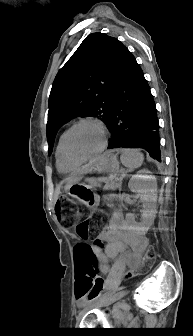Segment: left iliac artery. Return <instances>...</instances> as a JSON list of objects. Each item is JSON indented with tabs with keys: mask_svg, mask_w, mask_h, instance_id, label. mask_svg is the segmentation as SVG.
Here are the masks:
<instances>
[{
	"mask_svg": "<svg viewBox=\"0 0 193 336\" xmlns=\"http://www.w3.org/2000/svg\"><path fill=\"white\" fill-rule=\"evenodd\" d=\"M95 302H96V300L91 301L90 305L94 304Z\"/></svg>",
	"mask_w": 193,
	"mask_h": 336,
	"instance_id": "obj_1",
	"label": "left iliac artery"
}]
</instances>
